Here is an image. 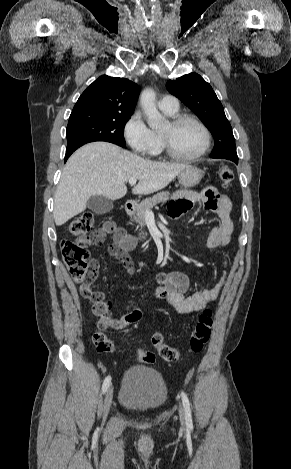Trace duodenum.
Listing matches in <instances>:
<instances>
[{
  "instance_id": "410a0bca",
  "label": "duodenum",
  "mask_w": 291,
  "mask_h": 469,
  "mask_svg": "<svg viewBox=\"0 0 291 469\" xmlns=\"http://www.w3.org/2000/svg\"><path fill=\"white\" fill-rule=\"evenodd\" d=\"M135 210V202L132 201V200H128L126 203H125V211L127 214H131L133 213Z\"/></svg>"
}]
</instances>
